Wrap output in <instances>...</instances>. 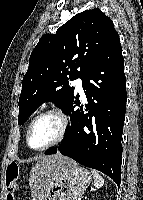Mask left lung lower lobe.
Here are the masks:
<instances>
[{
	"label": "left lung lower lobe",
	"mask_w": 143,
	"mask_h": 200,
	"mask_svg": "<svg viewBox=\"0 0 143 200\" xmlns=\"http://www.w3.org/2000/svg\"><path fill=\"white\" fill-rule=\"evenodd\" d=\"M88 104L80 106L76 95L70 106L71 126L57 148L61 154L97 169L118 185L121 179L123 123L126 109V78L119 36L81 76Z\"/></svg>",
	"instance_id": "1"
}]
</instances>
